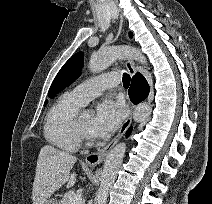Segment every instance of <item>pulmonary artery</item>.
<instances>
[{
    "instance_id": "1",
    "label": "pulmonary artery",
    "mask_w": 212,
    "mask_h": 204,
    "mask_svg": "<svg viewBox=\"0 0 212 204\" xmlns=\"http://www.w3.org/2000/svg\"><path fill=\"white\" fill-rule=\"evenodd\" d=\"M118 83L119 78L116 74L101 75L79 84L70 93L84 105Z\"/></svg>"
}]
</instances>
